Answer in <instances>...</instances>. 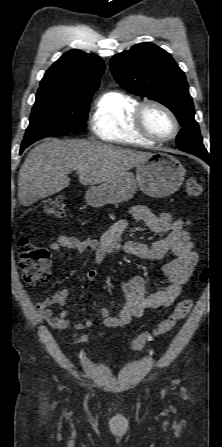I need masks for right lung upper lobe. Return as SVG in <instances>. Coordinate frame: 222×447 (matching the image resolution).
I'll list each match as a JSON object with an SVG mask.
<instances>
[{"label": "right lung upper lobe", "mask_w": 222, "mask_h": 447, "mask_svg": "<svg viewBox=\"0 0 222 447\" xmlns=\"http://www.w3.org/2000/svg\"><path fill=\"white\" fill-rule=\"evenodd\" d=\"M103 71L104 62L100 57L70 50L46 71L39 89H54L70 95L94 93Z\"/></svg>", "instance_id": "1"}]
</instances>
